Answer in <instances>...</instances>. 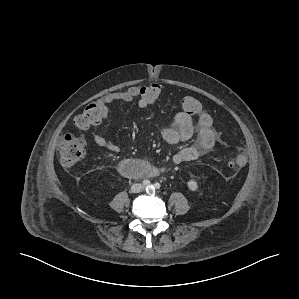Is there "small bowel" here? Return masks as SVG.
I'll return each instance as SVG.
<instances>
[{"label":"small bowel","mask_w":299,"mask_h":299,"mask_svg":"<svg viewBox=\"0 0 299 299\" xmlns=\"http://www.w3.org/2000/svg\"><path fill=\"white\" fill-rule=\"evenodd\" d=\"M137 100L140 108H146L149 103L138 93V87H130L123 91H115L105 94L99 99L103 112L101 121L93 129L94 142L111 152H119V146L112 140L106 138L100 133V126L108 117V106L116 102L129 103ZM162 138L170 144L186 142L195 136V142L187 147L182 148L175 153L169 163L164 166H154L150 163L143 162L145 170L141 176L152 177L165 171L169 166L190 162L198 159L200 156L209 152L220 140V135L213 129L212 117L202 109L196 114V120L185 112H178L169 126L161 131Z\"/></svg>","instance_id":"1"}]
</instances>
